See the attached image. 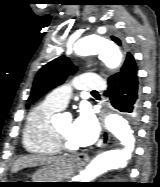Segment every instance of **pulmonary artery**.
<instances>
[{"mask_svg": "<svg viewBox=\"0 0 160 187\" xmlns=\"http://www.w3.org/2000/svg\"><path fill=\"white\" fill-rule=\"evenodd\" d=\"M73 86L77 90L89 92L103 89L105 83L98 75L80 74L74 78ZM71 95L72 87L70 84H66L49 93L46 97V101L62 109L67 105Z\"/></svg>", "mask_w": 160, "mask_h": 187, "instance_id": "1", "label": "pulmonary artery"}]
</instances>
